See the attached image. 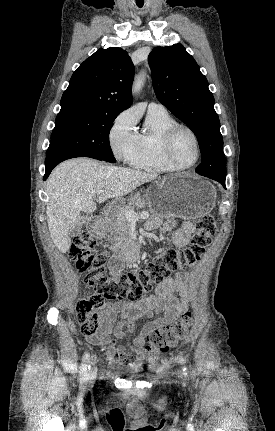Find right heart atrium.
Masks as SVG:
<instances>
[{"label":"right heart atrium","instance_id":"right-heart-atrium-1","mask_svg":"<svg viewBox=\"0 0 275 431\" xmlns=\"http://www.w3.org/2000/svg\"><path fill=\"white\" fill-rule=\"evenodd\" d=\"M108 139L114 156L132 164L138 152L139 141L135 118L130 111H122L116 116L109 129Z\"/></svg>","mask_w":275,"mask_h":431}]
</instances>
